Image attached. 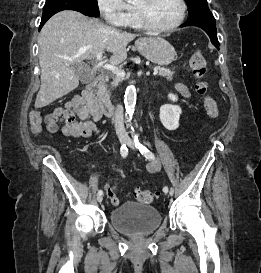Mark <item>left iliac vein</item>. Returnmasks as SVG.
Masks as SVG:
<instances>
[{
	"mask_svg": "<svg viewBox=\"0 0 261 273\" xmlns=\"http://www.w3.org/2000/svg\"><path fill=\"white\" fill-rule=\"evenodd\" d=\"M126 143H127V145H128L130 148H132V149L135 148L134 142H133L129 137H126ZM169 194H170L171 196L174 194L173 188L169 191Z\"/></svg>",
	"mask_w": 261,
	"mask_h": 273,
	"instance_id": "1",
	"label": "left iliac vein"
}]
</instances>
